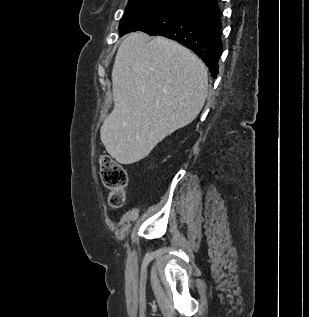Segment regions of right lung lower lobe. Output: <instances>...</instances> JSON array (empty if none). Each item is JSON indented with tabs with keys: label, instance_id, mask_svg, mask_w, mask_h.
<instances>
[{
	"label": "right lung lower lobe",
	"instance_id": "98d812e1",
	"mask_svg": "<svg viewBox=\"0 0 309 317\" xmlns=\"http://www.w3.org/2000/svg\"><path fill=\"white\" fill-rule=\"evenodd\" d=\"M221 29L217 0H179L140 17L120 36L140 30L176 40L193 50L216 78L223 50Z\"/></svg>",
	"mask_w": 309,
	"mask_h": 317
}]
</instances>
